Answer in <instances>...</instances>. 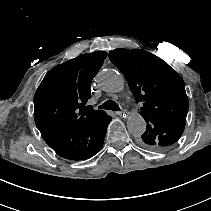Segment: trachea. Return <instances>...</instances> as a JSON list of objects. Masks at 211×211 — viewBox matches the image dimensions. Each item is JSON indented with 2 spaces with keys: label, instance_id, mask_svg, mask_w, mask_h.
<instances>
[{
  "label": "trachea",
  "instance_id": "obj_1",
  "mask_svg": "<svg viewBox=\"0 0 211 211\" xmlns=\"http://www.w3.org/2000/svg\"><path fill=\"white\" fill-rule=\"evenodd\" d=\"M99 109H107L112 111H120L119 105L113 100H107L103 104H101Z\"/></svg>",
  "mask_w": 211,
  "mask_h": 211
}]
</instances>
